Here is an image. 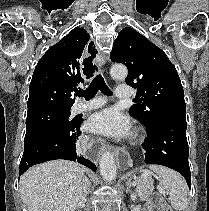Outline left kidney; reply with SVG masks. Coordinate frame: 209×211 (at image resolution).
<instances>
[{
  "instance_id": "5707ae66",
  "label": "left kidney",
  "mask_w": 209,
  "mask_h": 211,
  "mask_svg": "<svg viewBox=\"0 0 209 211\" xmlns=\"http://www.w3.org/2000/svg\"><path fill=\"white\" fill-rule=\"evenodd\" d=\"M131 199H132V201H135L136 195H134V193H131Z\"/></svg>"
}]
</instances>
